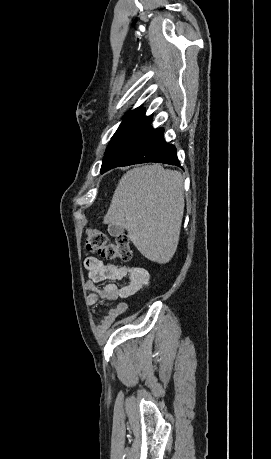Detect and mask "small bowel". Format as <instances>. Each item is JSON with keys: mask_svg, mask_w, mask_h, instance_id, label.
I'll list each match as a JSON object with an SVG mask.
<instances>
[{"mask_svg": "<svg viewBox=\"0 0 271 459\" xmlns=\"http://www.w3.org/2000/svg\"><path fill=\"white\" fill-rule=\"evenodd\" d=\"M84 267L88 273L86 289L89 291L88 303L90 305L96 304L100 300L125 299L142 290L150 280L148 271L143 268L105 264L95 257L86 258ZM124 279L128 280V283L124 286H119L113 282ZM104 281L111 282L107 283L103 288H99L98 284ZM126 310L127 305L124 302H120L114 308L108 309L98 324L97 330L99 332L106 331Z\"/></svg>", "mask_w": 271, "mask_h": 459, "instance_id": "obj_1", "label": "small bowel"}]
</instances>
